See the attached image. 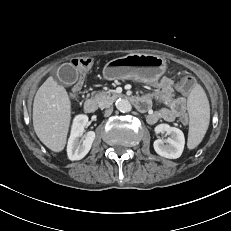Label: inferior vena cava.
Instances as JSON below:
<instances>
[{"label": "inferior vena cava", "instance_id": "1", "mask_svg": "<svg viewBox=\"0 0 231 231\" xmlns=\"http://www.w3.org/2000/svg\"><path fill=\"white\" fill-rule=\"evenodd\" d=\"M112 111H113V109H112V108H108V109H106V111H105V116H110V115H111V113H112Z\"/></svg>", "mask_w": 231, "mask_h": 231}]
</instances>
